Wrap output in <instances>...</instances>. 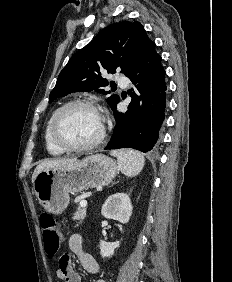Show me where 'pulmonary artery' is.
Wrapping results in <instances>:
<instances>
[{"label":"pulmonary artery","mask_w":232,"mask_h":282,"mask_svg":"<svg viewBox=\"0 0 232 282\" xmlns=\"http://www.w3.org/2000/svg\"><path fill=\"white\" fill-rule=\"evenodd\" d=\"M116 82L121 87H125L128 84L127 79L125 77H122V76L117 77Z\"/></svg>","instance_id":"pulmonary-artery-1"}]
</instances>
